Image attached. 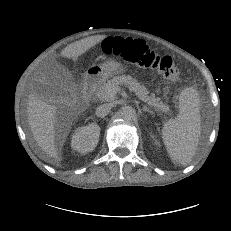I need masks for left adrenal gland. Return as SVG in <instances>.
Masks as SVG:
<instances>
[{"label":"left adrenal gland","mask_w":231,"mask_h":231,"mask_svg":"<svg viewBox=\"0 0 231 231\" xmlns=\"http://www.w3.org/2000/svg\"><path fill=\"white\" fill-rule=\"evenodd\" d=\"M142 110L145 112H149L150 114H153V111L149 110V108H147L146 106H144Z\"/></svg>","instance_id":"obj_1"}]
</instances>
